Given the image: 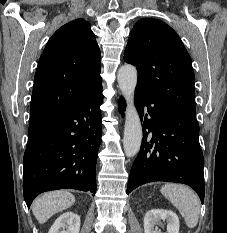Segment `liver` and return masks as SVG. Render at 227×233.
Listing matches in <instances>:
<instances>
[{
  "instance_id": "obj_1",
  "label": "liver",
  "mask_w": 227,
  "mask_h": 233,
  "mask_svg": "<svg viewBox=\"0 0 227 233\" xmlns=\"http://www.w3.org/2000/svg\"><path fill=\"white\" fill-rule=\"evenodd\" d=\"M75 202L73 194L67 191L45 193L32 204V212L40 224L47 222L54 214L71 207Z\"/></svg>"
}]
</instances>
